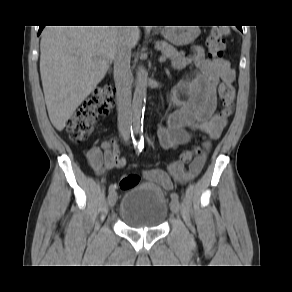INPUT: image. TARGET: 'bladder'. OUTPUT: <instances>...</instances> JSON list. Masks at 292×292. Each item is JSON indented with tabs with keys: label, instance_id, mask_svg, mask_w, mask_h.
<instances>
[{
	"label": "bladder",
	"instance_id": "1",
	"mask_svg": "<svg viewBox=\"0 0 292 292\" xmlns=\"http://www.w3.org/2000/svg\"><path fill=\"white\" fill-rule=\"evenodd\" d=\"M168 214L165 192L157 185L143 183L125 190L119 217L123 223L134 229L158 228Z\"/></svg>",
	"mask_w": 292,
	"mask_h": 292
}]
</instances>
